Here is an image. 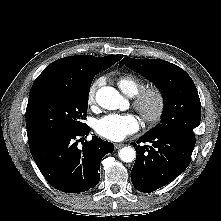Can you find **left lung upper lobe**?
Instances as JSON below:
<instances>
[{"label": "left lung upper lobe", "instance_id": "left-lung-upper-lobe-1", "mask_svg": "<svg viewBox=\"0 0 221 221\" xmlns=\"http://www.w3.org/2000/svg\"><path fill=\"white\" fill-rule=\"evenodd\" d=\"M123 64L146 76L161 90L165 107L161 123L150 135H175L195 141L194 128L201 119V103L191 77L180 67L159 59L123 58Z\"/></svg>", "mask_w": 221, "mask_h": 221}]
</instances>
